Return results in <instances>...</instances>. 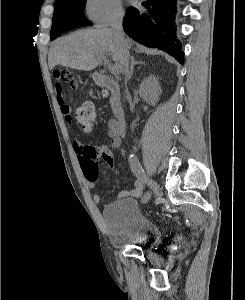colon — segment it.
I'll return each mask as SVG.
<instances>
[{
  "label": "colon",
  "instance_id": "colon-1",
  "mask_svg": "<svg viewBox=\"0 0 245 300\" xmlns=\"http://www.w3.org/2000/svg\"><path fill=\"white\" fill-rule=\"evenodd\" d=\"M54 79L59 83H64L70 87V89L75 90L78 87V80L73 71L65 69L61 71H56L54 73ZM76 120L83 126L85 131H91L96 123V113L92 102L83 101L81 102L75 110ZM94 155V152L89 153ZM83 168L86 176L89 179H94L97 174V167L94 160L87 159L83 163Z\"/></svg>",
  "mask_w": 245,
  "mask_h": 300
}]
</instances>
